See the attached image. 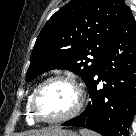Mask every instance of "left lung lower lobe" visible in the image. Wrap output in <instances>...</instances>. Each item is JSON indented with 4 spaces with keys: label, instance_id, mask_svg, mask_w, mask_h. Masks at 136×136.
<instances>
[{
    "label": "left lung lower lobe",
    "instance_id": "obj_1",
    "mask_svg": "<svg viewBox=\"0 0 136 136\" xmlns=\"http://www.w3.org/2000/svg\"><path fill=\"white\" fill-rule=\"evenodd\" d=\"M102 87H97L101 82ZM91 101L78 117L62 124L102 136H129L136 110V24L131 10L107 45L87 85Z\"/></svg>",
    "mask_w": 136,
    "mask_h": 136
}]
</instances>
